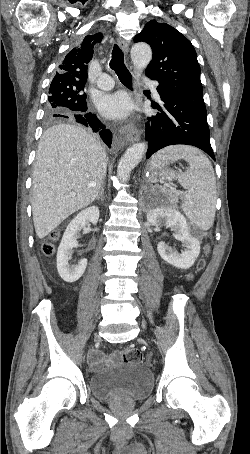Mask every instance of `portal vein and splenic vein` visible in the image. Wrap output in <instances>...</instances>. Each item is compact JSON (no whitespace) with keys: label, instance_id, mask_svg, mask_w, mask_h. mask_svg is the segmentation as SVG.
<instances>
[{"label":"portal vein and splenic vein","instance_id":"18ae733b","mask_svg":"<svg viewBox=\"0 0 250 454\" xmlns=\"http://www.w3.org/2000/svg\"><path fill=\"white\" fill-rule=\"evenodd\" d=\"M171 190L174 191V192H177L176 189H174V188H172Z\"/></svg>","mask_w":250,"mask_h":454}]
</instances>
